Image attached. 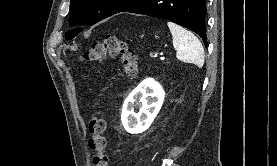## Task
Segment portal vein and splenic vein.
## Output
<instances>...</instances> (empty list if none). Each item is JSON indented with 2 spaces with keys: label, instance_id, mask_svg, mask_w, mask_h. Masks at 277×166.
Segmentation results:
<instances>
[{
  "label": "portal vein and splenic vein",
  "instance_id": "1",
  "mask_svg": "<svg viewBox=\"0 0 277 166\" xmlns=\"http://www.w3.org/2000/svg\"><path fill=\"white\" fill-rule=\"evenodd\" d=\"M151 57H153V58H157V57H158V55H157V54H151Z\"/></svg>",
  "mask_w": 277,
  "mask_h": 166
}]
</instances>
